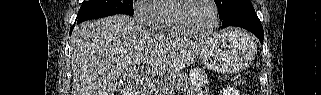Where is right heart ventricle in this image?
<instances>
[{"label": "right heart ventricle", "mask_w": 321, "mask_h": 95, "mask_svg": "<svg viewBox=\"0 0 321 95\" xmlns=\"http://www.w3.org/2000/svg\"><path fill=\"white\" fill-rule=\"evenodd\" d=\"M173 2L174 0H161L157 2L155 15L149 24L151 29L163 32L179 33L171 27L168 21L169 9Z\"/></svg>", "instance_id": "obj_1"}]
</instances>
